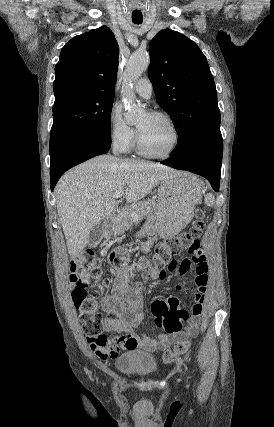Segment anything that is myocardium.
I'll list each match as a JSON object with an SVG mask.
<instances>
[{
    "label": "myocardium",
    "mask_w": 274,
    "mask_h": 427,
    "mask_svg": "<svg viewBox=\"0 0 274 427\" xmlns=\"http://www.w3.org/2000/svg\"><path fill=\"white\" fill-rule=\"evenodd\" d=\"M148 114L153 116V117L164 119L169 123V125L173 131V135H174L173 144L165 154H162V155L150 154L143 149L140 137L138 135V132L136 131V151L140 156L147 158V159H152V160L168 159L169 157H171L174 154V152L176 151V149L179 145V142H180V132H179V129L177 127V124H176L175 120L168 113L161 112V111H151Z\"/></svg>",
    "instance_id": "myocardium-1"
}]
</instances>
